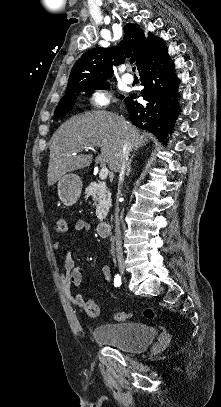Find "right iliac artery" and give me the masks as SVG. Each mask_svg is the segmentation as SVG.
Segmentation results:
<instances>
[{"mask_svg": "<svg viewBox=\"0 0 221 407\" xmlns=\"http://www.w3.org/2000/svg\"><path fill=\"white\" fill-rule=\"evenodd\" d=\"M121 285V276L119 275V274H117L116 276H115V279H114V286L115 287H118V286H120Z\"/></svg>", "mask_w": 221, "mask_h": 407, "instance_id": "82829eb1", "label": "right iliac artery"}]
</instances>
